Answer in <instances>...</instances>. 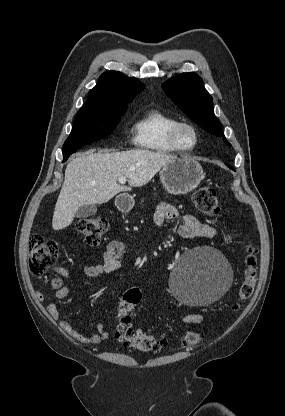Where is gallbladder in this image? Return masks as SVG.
<instances>
[{"instance_id": "1", "label": "gallbladder", "mask_w": 285, "mask_h": 416, "mask_svg": "<svg viewBox=\"0 0 285 416\" xmlns=\"http://www.w3.org/2000/svg\"><path fill=\"white\" fill-rule=\"evenodd\" d=\"M98 208L96 204H89V206H82L80 210H77L75 214V218H89V216H93L96 214Z\"/></svg>"}]
</instances>
